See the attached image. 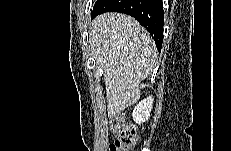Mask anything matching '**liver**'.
<instances>
[{
    "label": "liver",
    "mask_w": 231,
    "mask_h": 151,
    "mask_svg": "<svg viewBox=\"0 0 231 151\" xmlns=\"http://www.w3.org/2000/svg\"><path fill=\"white\" fill-rule=\"evenodd\" d=\"M91 54L104 71L109 116L140 98V82L157 64L155 43L134 18L105 13L89 24Z\"/></svg>",
    "instance_id": "6515ba94"
}]
</instances>
